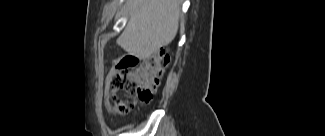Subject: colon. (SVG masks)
<instances>
[{"instance_id": "colon-1", "label": "colon", "mask_w": 325, "mask_h": 136, "mask_svg": "<svg viewBox=\"0 0 325 136\" xmlns=\"http://www.w3.org/2000/svg\"><path fill=\"white\" fill-rule=\"evenodd\" d=\"M169 55L163 49L142 61L111 93L114 110L120 115L130 113L138 103H148L157 91Z\"/></svg>"}]
</instances>
